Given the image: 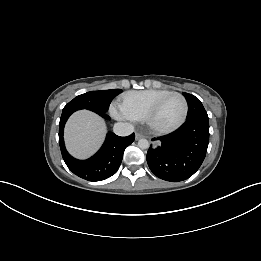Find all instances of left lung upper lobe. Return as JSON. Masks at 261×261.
<instances>
[{"mask_svg":"<svg viewBox=\"0 0 261 261\" xmlns=\"http://www.w3.org/2000/svg\"><path fill=\"white\" fill-rule=\"evenodd\" d=\"M189 106V112L187 116V120H191L197 117H208L207 112L205 111L200 100L194 95L183 93Z\"/></svg>","mask_w":261,"mask_h":261,"instance_id":"left-lung-upper-lobe-1","label":"left lung upper lobe"}]
</instances>
